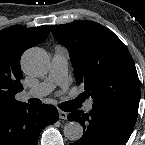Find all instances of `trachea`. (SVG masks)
<instances>
[{
  "label": "trachea",
  "instance_id": "trachea-1",
  "mask_svg": "<svg viewBox=\"0 0 145 145\" xmlns=\"http://www.w3.org/2000/svg\"><path fill=\"white\" fill-rule=\"evenodd\" d=\"M29 102L33 105H38L41 103L39 99H35V98L30 99ZM59 107L64 111H71L75 108V105L73 101H67L59 104Z\"/></svg>",
  "mask_w": 145,
  "mask_h": 145
}]
</instances>
